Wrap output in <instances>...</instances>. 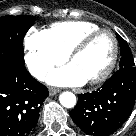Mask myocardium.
<instances>
[{"label": "myocardium", "instance_id": "f54148a6", "mask_svg": "<svg viewBox=\"0 0 136 136\" xmlns=\"http://www.w3.org/2000/svg\"><path fill=\"white\" fill-rule=\"evenodd\" d=\"M102 34H108L112 38V41H113L112 58L108 66L104 69L102 73H100L98 76L94 78L87 80L89 84H99L105 81L115 69L117 61H118V56H119V43L115 33L109 29H99V30L90 32L87 35H85L83 38H81L67 55V59L71 63L73 59L77 57L80 53H82L95 38H97L98 36Z\"/></svg>", "mask_w": 136, "mask_h": 136}]
</instances>
